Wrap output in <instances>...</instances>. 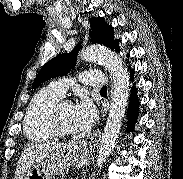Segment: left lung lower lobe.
<instances>
[{
  "label": "left lung lower lobe",
  "instance_id": "0a47b994",
  "mask_svg": "<svg viewBox=\"0 0 183 179\" xmlns=\"http://www.w3.org/2000/svg\"><path fill=\"white\" fill-rule=\"evenodd\" d=\"M115 50L117 52H119V46H117V48ZM130 74H131L130 75L131 79L133 80L134 79L133 70L130 71ZM138 109H139V100H138V96H137L136 87L134 86L131 88V97H130V103H129L128 112H127V116H128L127 132L132 131V129L136 123L137 116H138Z\"/></svg>",
  "mask_w": 183,
  "mask_h": 179
}]
</instances>
